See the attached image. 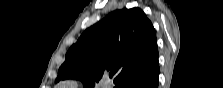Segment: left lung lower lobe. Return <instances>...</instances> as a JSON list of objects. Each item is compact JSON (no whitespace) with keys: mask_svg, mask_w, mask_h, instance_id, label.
<instances>
[{"mask_svg":"<svg viewBox=\"0 0 223 88\" xmlns=\"http://www.w3.org/2000/svg\"><path fill=\"white\" fill-rule=\"evenodd\" d=\"M159 63L155 60L142 74L128 83L125 88H158Z\"/></svg>","mask_w":223,"mask_h":88,"instance_id":"0a47b994","label":"left lung lower lobe"}]
</instances>
